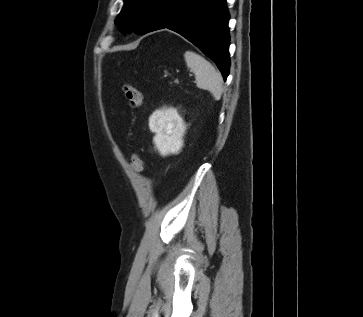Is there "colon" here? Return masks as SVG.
I'll list each match as a JSON object with an SVG mask.
<instances>
[{
  "label": "colon",
  "instance_id": "colon-1",
  "mask_svg": "<svg viewBox=\"0 0 363 317\" xmlns=\"http://www.w3.org/2000/svg\"><path fill=\"white\" fill-rule=\"evenodd\" d=\"M123 92L130 107L137 108L141 105L142 93L137 87L131 83H125L123 85ZM131 166L137 173L142 172L143 160L139 154H134L132 156Z\"/></svg>",
  "mask_w": 363,
  "mask_h": 317
}]
</instances>
